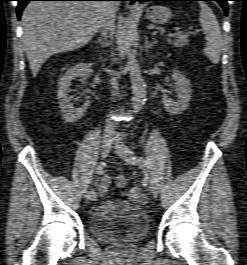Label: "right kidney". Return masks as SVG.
Returning a JSON list of instances; mask_svg holds the SVG:
<instances>
[{
    "label": "right kidney",
    "mask_w": 247,
    "mask_h": 265,
    "mask_svg": "<svg viewBox=\"0 0 247 265\" xmlns=\"http://www.w3.org/2000/svg\"><path fill=\"white\" fill-rule=\"evenodd\" d=\"M93 70L87 63H77L67 70L63 77L58 82V95L59 106L62 112V117L67 123H74L78 121L87 110L89 106V100L85 101L79 108H74L70 103L68 93L71 81L77 77H90Z\"/></svg>",
    "instance_id": "1"
}]
</instances>
